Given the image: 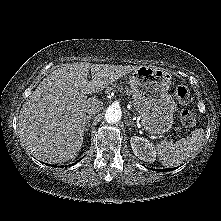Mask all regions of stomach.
I'll return each instance as SVG.
<instances>
[{"mask_svg":"<svg viewBox=\"0 0 221 221\" xmlns=\"http://www.w3.org/2000/svg\"><path fill=\"white\" fill-rule=\"evenodd\" d=\"M133 104L149 133L163 134L172 126L176 103L168 94L171 74L163 68L137 67L129 78Z\"/></svg>","mask_w":221,"mask_h":221,"instance_id":"obj_1","label":"stomach"}]
</instances>
